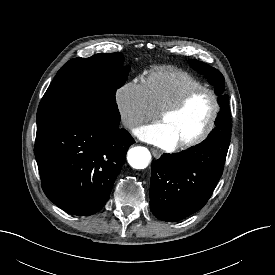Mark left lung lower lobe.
<instances>
[{"mask_svg":"<svg viewBox=\"0 0 275 275\" xmlns=\"http://www.w3.org/2000/svg\"><path fill=\"white\" fill-rule=\"evenodd\" d=\"M230 138L212 136L178 154H163L151 165L150 209L176 222L201 209L220 179Z\"/></svg>","mask_w":275,"mask_h":275,"instance_id":"obj_1","label":"left lung lower lobe"}]
</instances>
